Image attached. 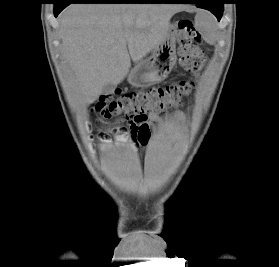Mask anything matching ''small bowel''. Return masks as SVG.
Instances as JSON below:
<instances>
[{
	"mask_svg": "<svg viewBox=\"0 0 279 267\" xmlns=\"http://www.w3.org/2000/svg\"><path fill=\"white\" fill-rule=\"evenodd\" d=\"M178 118H182V112H176ZM162 117L157 113H149L143 119L133 122L128 126V131L133 142L136 145H146L150 138L151 130L154 129L156 123H160ZM144 131V136L141 137V132Z\"/></svg>",
	"mask_w": 279,
	"mask_h": 267,
	"instance_id": "obj_1",
	"label": "small bowel"
}]
</instances>
